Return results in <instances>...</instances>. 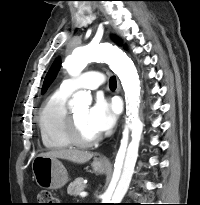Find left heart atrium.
Here are the masks:
<instances>
[{"label":"left heart atrium","mask_w":200,"mask_h":205,"mask_svg":"<svg viewBox=\"0 0 200 205\" xmlns=\"http://www.w3.org/2000/svg\"><path fill=\"white\" fill-rule=\"evenodd\" d=\"M118 115L116 104L107 101L103 97H97L88 112V122L98 133L109 131L115 124Z\"/></svg>","instance_id":"1"}]
</instances>
